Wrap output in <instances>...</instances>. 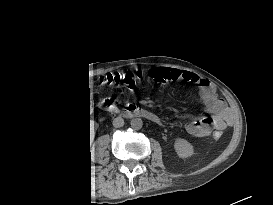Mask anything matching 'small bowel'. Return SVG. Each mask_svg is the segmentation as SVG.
Segmentation results:
<instances>
[{
  "label": "small bowel",
  "instance_id": "obj_1",
  "mask_svg": "<svg viewBox=\"0 0 273 205\" xmlns=\"http://www.w3.org/2000/svg\"><path fill=\"white\" fill-rule=\"evenodd\" d=\"M149 77L154 81L161 77H166L168 81L181 79L198 85L204 111L210 115L186 123L184 128L188 134L204 137L221 131L230 124L232 112L225 102L219 98L215 87L209 80L195 73L176 68H154L149 71Z\"/></svg>",
  "mask_w": 273,
  "mask_h": 205
}]
</instances>
